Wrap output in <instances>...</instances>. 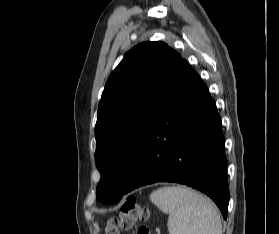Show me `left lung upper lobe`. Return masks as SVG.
<instances>
[{
    "mask_svg": "<svg viewBox=\"0 0 279 234\" xmlns=\"http://www.w3.org/2000/svg\"><path fill=\"white\" fill-rule=\"evenodd\" d=\"M181 55L163 42L131 49L110 74L95 125L97 199L117 203L133 171L153 115Z\"/></svg>",
    "mask_w": 279,
    "mask_h": 234,
    "instance_id": "5c2ea615",
    "label": "left lung upper lobe"
}]
</instances>
